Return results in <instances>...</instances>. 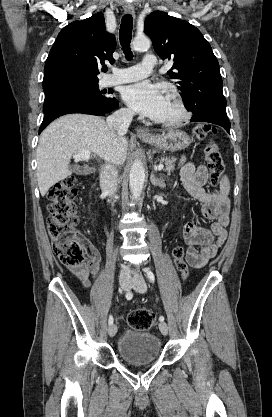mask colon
<instances>
[{
	"mask_svg": "<svg viewBox=\"0 0 272 417\" xmlns=\"http://www.w3.org/2000/svg\"><path fill=\"white\" fill-rule=\"evenodd\" d=\"M194 133L199 139L209 137L204 151L205 160L210 181L213 185H217L224 172V163L214 140L216 129L208 123H202L195 126ZM76 185V179L69 176L53 185L48 192V233L55 254L63 264L68 266L81 265L85 259L84 247L75 231L77 216L72 200L77 193ZM172 255L175 267L182 278L186 279L189 271L184 260V248L175 247ZM127 322L131 328L144 331L153 327L155 315L149 309H136L129 313Z\"/></svg>",
	"mask_w": 272,
	"mask_h": 417,
	"instance_id": "obj_1",
	"label": "colon"
}]
</instances>
